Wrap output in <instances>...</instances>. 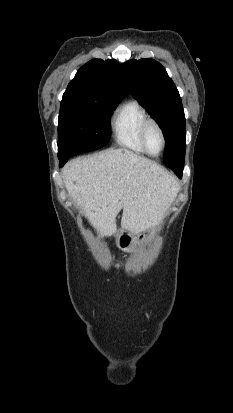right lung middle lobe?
Returning <instances> with one entry per match:
<instances>
[{
    "instance_id": "right-lung-middle-lobe-1",
    "label": "right lung middle lobe",
    "mask_w": 233,
    "mask_h": 413,
    "mask_svg": "<svg viewBox=\"0 0 233 413\" xmlns=\"http://www.w3.org/2000/svg\"><path fill=\"white\" fill-rule=\"evenodd\" d=\"M120 99L63 95L58 118V157H70L105 146L110 116Z\"/></svg>"
}]
</instances>
